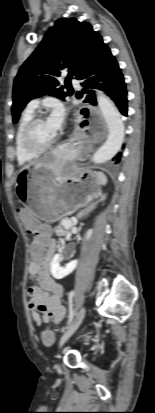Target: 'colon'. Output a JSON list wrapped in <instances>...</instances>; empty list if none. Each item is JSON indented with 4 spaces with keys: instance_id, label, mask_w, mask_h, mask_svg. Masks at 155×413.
<instances>
[{
    "instance_id": "5ec220e1",
    "label": "colon",
    "mask_w": 155,
    "mask_h": 413,
    "mask_svg": "<svg viewBox=\"0 0 155 413\" xmlns=\"http://www.w3.org/2000/svg\"><path fill=\"white\" fill-rule=\"evenodd\" d=\"M35 234V240L31 247V256L34 260L43 261L47 247L43 238L38 235V231H32ZM41 339L44 344L51 345L54 341V333L51 329L47 328L41 333Z\"/></svg>"
}]
</instances>
